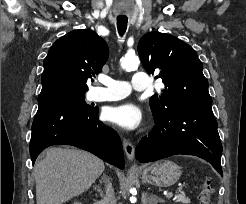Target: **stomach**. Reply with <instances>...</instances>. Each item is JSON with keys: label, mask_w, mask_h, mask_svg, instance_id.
Masks as SVG:
<instances>
[{"label": "stomach", "mask_w": 246, "mask_h": 204, "mask_svg": "<svg viewBox=\"0 0 246 204\" xmlns=\"http://www.w3.org/2000/svg\"><path fill=\"white\" fill-rule=\"evenodd\" d=\"M181 174V167L176 163L162 160L146 167L142 172V179L158 187H168L175 184Z\"/></svg>", "instance_id": "obj_1"}]
</instances>
